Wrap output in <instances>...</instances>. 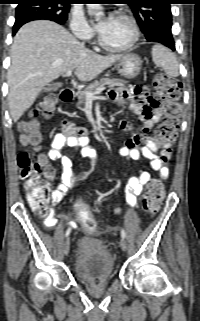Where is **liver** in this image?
<instances>
[{
  "mask_svg": "<svg viewBox=\"0 0 200 321\" xmlns=\"http://www.w3.org/2000/svg\"><path fill=\"white\" fill-rule=\"evenodd\" d=\"M122 55L102 56L86 49L61 25L38 20L25 24L15 35L8 70V103L17 122L37 95L53 80L75 69L81 81H91Z\"/></svg>",
  "mask_w": 200,
  "mask_h": 321,
  "instance_id": "liver-1",
  "label": "liver"
}]
</instances>
